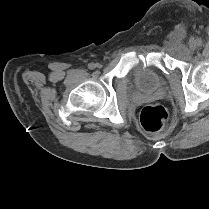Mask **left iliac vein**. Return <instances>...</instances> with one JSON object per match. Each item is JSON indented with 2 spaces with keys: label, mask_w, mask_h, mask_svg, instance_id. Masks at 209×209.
Here are the masks:
<instances>
[{
  "label": "left iliac vein",
  "mask_w": 209,
  "mask_h": 209,
  "mask_svg": "<svg viewBox=\"0 0 209 209\" xmlns=\"http://www.w3.org/2000/svg\"><path fill=\"white\" fill-rule=\"evenodd\" d=\"M190 48H191V49H195V42H194V41H191V42H190Z\"/></svg>",
  "instance_id": "1"
}]
</instances>
